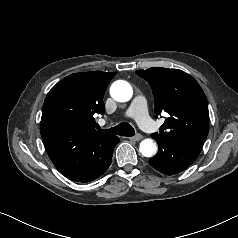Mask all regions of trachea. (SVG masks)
<instances>
[{
	"label": "trachea",
	"mask_w": 238,
	"mask_h": 238,
	"mask_svg": "<svg viewBox=\"0 0 238 238\" xmlns=\"http://www.w3.org/2000/svg\"><path fill=\"white\" fill-rule=\"evenodd\" d=\"M106 132L120 135V136H128V137L135 135V131L133 127L126 122H122L113 128L107 129Z\"/></svg>",
	"instance_id": "1"
}]
</instances>
